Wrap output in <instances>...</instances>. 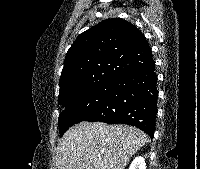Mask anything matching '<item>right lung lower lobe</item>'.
<instances>
[{"instance_id": "1", "label": "right lung lower lobe", "mask_w": 200, "mask_h": 169, "mask_svg": "<svg viewBox=\"0 0 200 169\" xmlns=\"http://www.w3.org/2000/svg\"><path fill=\"white\" fill-rule=\"evenodd\" d=\"M155 64L120 77L103 103L83 121L136 126L154 136L157 113Z\"/></svg>"}]
</instances>
